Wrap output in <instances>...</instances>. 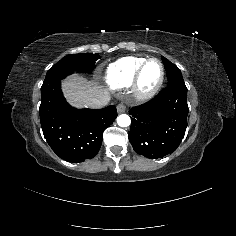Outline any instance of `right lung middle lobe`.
I'll use <instances>...</instances> for the list:
<instances>
[{
  "mask_svg": "<svg viewBox=\"0 0 236 236\" xmlns=\"http://www.w3.org/2000/svg\"><path fill=\"white\" fill-rule=\"evenodd\" d=\"M99 58L98 54L90 53L67 55L50 68L46 78L61 73H73L74 71L90 73L95 68V62Z\"/></svg>",
  "mask_w": 236,
  "mask_h": 236,
  "instance_id": "1",
  "label": "right lung middle lobe"
}]
</instances>
